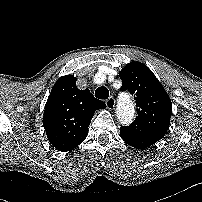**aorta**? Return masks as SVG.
<instances>
[{"label":"aorta","instance_id":"1","mask_svg":"<svg viewBox=\"0 0 202 202\" xmlns=\"http://www.w3.org/2000/svg\"><path fill=\"white\" fill-rule=\"evenodd\" d=\"M134 113H135L134 104L128 97L120 100L116 114L117 118L122 124L127 125L131 123V121L134 118Z\"/></svg>","mask_w":202,"mask_h":202}]
</instances>
